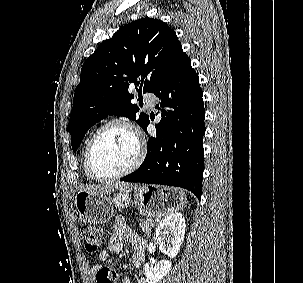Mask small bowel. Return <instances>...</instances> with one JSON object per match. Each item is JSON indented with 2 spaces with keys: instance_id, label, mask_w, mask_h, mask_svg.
<instances>
[{
  "instance_id": "obj_1",
  "label": "small bowel",
  "mask_w": 303,
  "mask_h": 283,
  "mask_svg": "<svg viewBox=\"0 0 303 283\" xmlns=\"http://www.w3.org/2000/svg\"><path fill=\"white\" fill-rule=\"evenodd\" d=\"M129 242L132 246L131 253V264L134 267H140L144 259V249L145 242L144 240L131 228L127 225L123 217H116L113 222V233L109 239L107 249L102 250L99 253V259L102 262H105L109 259L111 255L120 254L124 247L125 242ZM102 267L100 264H96L92 268V272L95 274ZM122 283H132L129 277H124ZM136 283H145L143 280L139 279Z\"/></svg>"
}]
</instances>
